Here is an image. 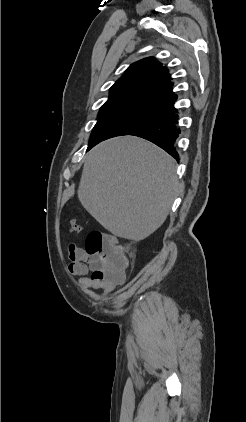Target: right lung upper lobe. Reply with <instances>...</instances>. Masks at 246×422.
Returning <instances> with one entry per match:
<instances>
[{"mask_svg":"<svg viewBox=\"0 0 246 422\" xmlns=\"http://www.w3.org/2000/svg\"><path fill=\"white\" fill-rule=\"evenodd\" d=\"M173 85L165 66L153 57L144 58L131 64L115 82L103 106L162 110L177 100Z\"/></svg>","mask_w":246,"mask_h":422,"instance_id":"cb5924a9","label":"right lung upper lobe"}]
</instances>
